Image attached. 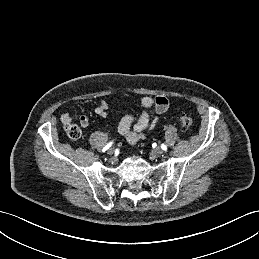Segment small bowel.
Returning <instances> with one entry per match:
<instances>
[{"instance_id": "small-bowel-1", "label": "small bowel", "mask_w": 259, "mask_h": 259, "mask_svg": "<svg viewBox=\"0 0 259 259\" xmlns=\"http://www.w3.org/2000/svg\"><path fill=\"white\" fill-rule=\"evenodd\" d=\"M140 106L142 107V112L136 121L132 113H127L121 118L117 126L118 133L124 136L126 141L130 144H135L144 139L145 132L154 127L158 122L159 117L152 120L151 110L154 109L158 116H160L167 111L169 101L165 96H157L155 98L143 97L140 101ZM108 108V103L105 100H101L95 107V113L102 118H106ZM62 121L64 124H68L72 121L69 113L63 114ZM80 124L83 127L88 126V118L86 115L80 116Z\"/></svg>"}]
</instances>
